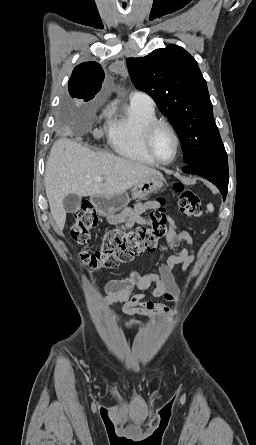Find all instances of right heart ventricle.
Instances as JSON below:
<instances>
[{
	"instance_id": "obj_1",
	"label": "right heart ventricle",
	"mask_w": 256,
	"mask_h": 445,
	"mask_svg": "<svg viewBox=\"0 0 256 445\" xmlns=\"http://www.w3.org/2000/svg\"><path fill=\"white\" fill-rule=\"evenodd\" d=\"M156 119L154 107L130 103L123 115L108 122L109 145L117 154L125 158L154 164L144 148L143 131L146 125Z\"/></svg>"
}]
</instances>
